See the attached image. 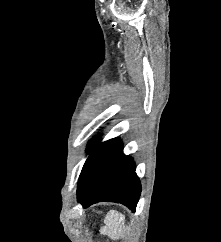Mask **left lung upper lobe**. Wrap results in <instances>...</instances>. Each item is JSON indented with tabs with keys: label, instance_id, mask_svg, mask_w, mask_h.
<instances>
[{
	"label": "left lung upper lobe",
	"instance_id": "1",
	"mask_svg": "<svg viewBox=\"0 0 221 242\" xmlns=\"http://www.w3.org/2000/svg\"><path fill=\"white\" fill-rule=\"evenodd\" d=\"M99 138H95L93 140H91L88 144V151H91L93 149V147L98 143Z\"/></svg>",
	"mask_w": 221,
	"mask_h": 242
}]
</instances>
